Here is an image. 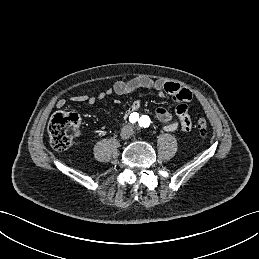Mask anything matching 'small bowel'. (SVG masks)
Returning <instances> with one entry per match:
<instances>
[{"label":"small bowel","instance_id":"c3829d8e","mask_svg":"<svg viewBox=\"0 0 259 259\" xmlns=\"http://www.w3.org/2000/svg\"><path fill=\"white\" fill-rule=\"evenodd\" d=\"M140 89L154 90L160 95H169L173 100L178 102L176 106V115L178 120H173V115L164 107H158L155 115L158 121L164 124L163 128L166 132H174L178 129L182 131H190L192 122L188 113L187 102L192 98L189 89L183 87L179 83L161 80H152L146 77H136L128 81H117L112 87L106 91L94 95H76L72 98L73 102H85L89 105H94L97 101L103 100L106 96L128 95ZM65 104L63 99L58 100L57 106L62 107ZM141 103L139 100H133L127 109V115L132 114L139 109Z\"/></svg>","mask_w":259,"mask_h":259}]
</instances>
